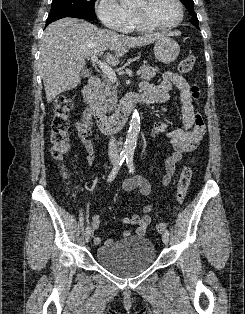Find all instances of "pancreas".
Here are the masks:
<instances>
[{
  "label": "pancreas",
  "instance_id": "1",
  "mask_svg": "<svg viewBox=\"0 0 245 314\" xmlns=\"http://www.w3.org/2000/svg\"><path fill=\"white\" fill-rule=\"evenodd\" d=\"M142 80L149 81L156 76V73L159 71L157 67H151L148 64H144L140 67ZM117 88L118 85H113V82L107 80L104 82L96 96V103L104 110L113 111L117 106Z\"/></svg>",
  "mask_w": 245,
  "mask_h": 314
}]
</instances>
